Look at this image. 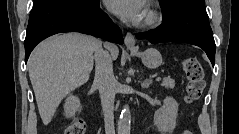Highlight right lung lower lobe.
<instances>
[{
    "label": "right lung lower lobe",
    "mask_w": 239,
    "mask_h": 134,
    "mask_svg": "<svg viewBox=\"0 0 239 134\" xmlns=\"http://www.w3.org/2000/svg\"><path fill=\"white\" fill-rule=\"evenodd\" d=\"M61 32H80L123 44L117 25L99 7V0H46L29 16L25 61L43 39Z\"/></svg>",
    "instance_id": "obj_1"
}]
</instances>
